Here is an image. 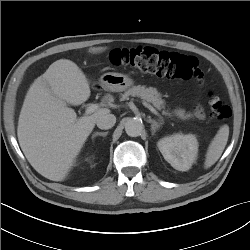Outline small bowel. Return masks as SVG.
<instances>
[{
    "instance_id": "small-bowel-1",
    "label": "small bowel",
    "mask_w": 250,
    "mask_h": 250,
    "mask_svg": "<svg viewBox=\"0 0 250 250\" xmlns=\"http://www.w3.org/2000/svg\"><path fill=\"white\" fill-rule=\"evenodd\" d=\"M176 115L182 119H196L203 120L205 118V113L202 108L197 107L193 112H188L182 108L176 109Z\"/></svg>"
}]
</instances>
